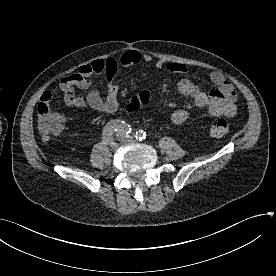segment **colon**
Wrapping results in <instances>:
<instances>
[{
	"mask_svg": "<svg viewBox=\"0 0 276 276\" xmlns=\"http://www.w3.org/2000/svg\"><path fill=\"white\" fill-rule=\"evenodd\" d=\"M150 100L148 90H142L132 97L126 104V110L133 112ZM38 127L44 140H50L58 136L64 128L63 117L53 110L51 102L40 101L37 105ZM230 132V126L224 119L214 120L209 127V133L213 137H224Z\"/></svg>",
	"mask_w": 276,
	"mask_h": 276,
	"instance_id": "colon-1",
	"label": "colon"
}]
</instances>
